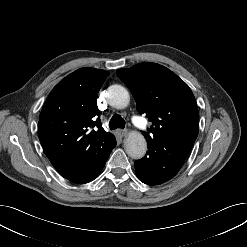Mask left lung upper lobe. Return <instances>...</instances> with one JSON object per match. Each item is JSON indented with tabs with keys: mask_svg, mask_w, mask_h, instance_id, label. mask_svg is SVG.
<instances>
[{
	"mask_svg": "<svg viewBox=\"0 0 247 247\" xmlns=\"http://www.w3.org/2000/svg\"><path fill=\"white\" fill-rule=\"evenodd\" d=\"M116 73L133 94L137 111L152 122V135L144 133L148 144L193 147L199 131V112L185 82L166 67L150 62Z\"/></svg>",
	"mask_w": 247,
	"mask_h": 247,
	"instance_id": "left-lung-upper-lobe-1",
	"label": "left lung upper lobe"
}]
</instances>
